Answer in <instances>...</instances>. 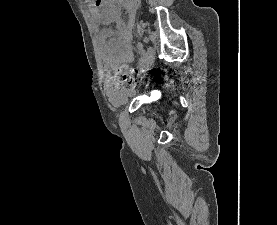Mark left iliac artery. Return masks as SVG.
Returning a JSON list of instances; mask_svg holds the SVG:
<instances>
[{
	"label": "left iliac artery",
	"instance_id": "obj_1",
	"mask_svg": "<svg viewBox=\"0 0 277 225\" xmlns=\"http://www.w3.org/2000/svg\"><path fill=\"white\" fill-rule=\"evenodd\" d=\"M137 49L140 54L138 65H139V67H142L143 61H144V56H145V50H144L143 44L141 42L137 43Z\"/></svg>",
	"mask_w": 277,
	"mask_h": 225
}]
</instances>
